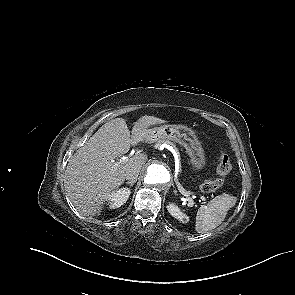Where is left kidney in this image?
<instances>
[{"label":"left kidney","instance_id":"1","mask_svg":"<svg viewBox=\"0 0 295 295\" xmlns=\"http://www.w3.org/2000/svg\"><path fill=\"white\" fill-rule=\"evenodd\" d=\"M167 210L174 218L180 220L181 222L187 223L189 221V217L185 215L177 205L171 203L167 206Z\"/></svg>","mask_w":295,"mask_h":295}]
</instances>
